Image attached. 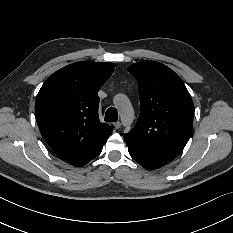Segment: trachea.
<instances>
[{"mask_svg":"<svg viewBox=\"0 0 233 233\" xmlns=\"http://www.w3.org/2000/svg\"><path fill=\"white\" fill-rule=\"evenodd\" d=\"M118 120V112L114 107H110L107 109L105 113V121L109 122H117Z\"/></svg>","mask_w":233,"mask_h":233,"instance_id":"1","label":"trachea"}]
</instances>
